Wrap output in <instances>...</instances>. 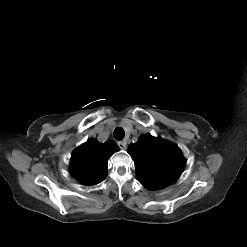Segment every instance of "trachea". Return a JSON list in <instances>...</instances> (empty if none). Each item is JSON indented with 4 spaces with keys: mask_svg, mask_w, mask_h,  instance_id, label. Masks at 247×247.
<instances>
[{
    "mask_svg": "<svg viewBox=\"0 0 247 247\" xmlns=\"http://www.w3.org/2000/svg\"><path fill=\"white\" fill-rule=\"evenodd\" d=\"M114 138L116 140H122L125 136V132L124 130L121 128V127H117L115 130H114Z\"/></svg>",
    "mask_w": 247,
    "mask_h": 247,
    "instance_id": "obj_1",
    "label": "trachea"
}]
</instances>
